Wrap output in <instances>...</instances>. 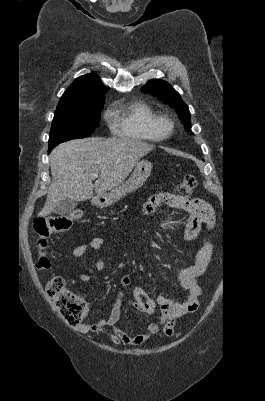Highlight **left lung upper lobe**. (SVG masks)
<instances>
[{
    "label": "left lung upper lobe",
    "instance_id": "left-lung-upper-lobe-1",
    "mask_svg": "<svg viewBox=\"0 0 265 401\" xmlns=\"http://www.w3.org/2000/svg\"><path fill=\"white\" fill-rule=\"evenodd\" d=\"M142 92L149 93L175 109L185 129L191 131V120L188 106L172 86L163 80H151L142 88Z\"/></svg>",
    "mask_w": 265,
    "mask_h": 401
}]
</instances>
